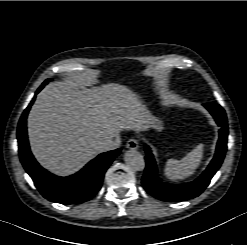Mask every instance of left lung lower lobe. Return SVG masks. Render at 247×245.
<instances>
[{"label": "left lung lower lobe", "mask_w": 247, "mask_h": 245, "mask_svg": "<svg viewBox=\"0 0 247 245\" xmlns=\"http://www.w3.org/2000/svg\"><path fill=\"white\" fill-rule=\"evenodd\" d=\"M203 105L220 126L219 139L213 159L195 180L185 184H168L161 182L158 178L156 161L150 148L146 146L144 149L146 153L145 168L141 177V184L145 191L154 198L165 202H180L198 197L206 190L211 179L221 167L227 151L229 134L227 115L219 104L204 103Z\"/></svg>", "instance_id": "left-lung-lower-lobe-1"}]
</instances>
